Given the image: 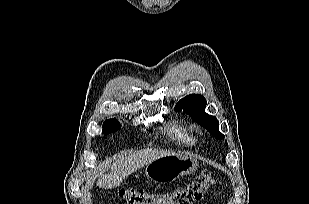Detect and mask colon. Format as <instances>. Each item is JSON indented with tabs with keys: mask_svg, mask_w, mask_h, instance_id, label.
Segmentation results:
<instances>
[{
	"mask_svg": "<svg viewBox=\"0 0 309 204\" xmlns=\"http://www.w3.org/2000/svg\"><path fill=\"white\" fill-rule=\"evenodd\" d=\"M214 179L210 171H204L188 184L171 192L155 193L140 189H122L119 197L126 204H193L207 191Z\"/></svg>",
	"mask_w": 309,
	"mask_h": 204,
	"instance_id": "1",
	"label": "colon"
}]
</instances>
